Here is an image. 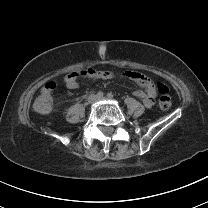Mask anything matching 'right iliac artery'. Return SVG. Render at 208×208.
Returning <instances> with one entry per match:
<instances>
[{
    "label": "right iliac artery",
    "mask_w": 208,
    "mask_h": 208,
    "mask_svg": "<svg viewBox=\"0 0 208 208\" xmlns=\"http://www.w3.org/2000/svg\"><path fill=\"white\" fill-rule=\"evenodd\" d=\"M103 96H104V94H103L102 91H99V92L97 93V97H98V98H102Z\"/></svg>",
    "instance_id": "1"
}]
</instances>
